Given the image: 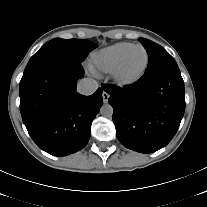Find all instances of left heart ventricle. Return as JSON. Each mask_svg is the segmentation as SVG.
Returning a JSON list of instances; mask_svg holds the SVG:
<instances>
[{"mask_svg": "<svg viewBox=\"0 0 207 207\" xmlns=\"http://www.w3.org/2000/svg\"><path fill=\"white\" fill-rule=\"evenodd\" d=\"M144 63V51L141 48L133 49L123 65L122 75L125 77L136 75L142 69Z\"/></svg>", "mask_w": 207, "mask_h": 207, "instance_id": "left-heart-ventricle-1", "label": "left heart ventricle"}]
</instances>
